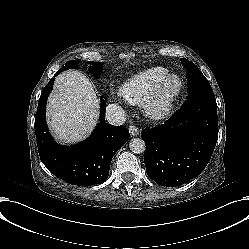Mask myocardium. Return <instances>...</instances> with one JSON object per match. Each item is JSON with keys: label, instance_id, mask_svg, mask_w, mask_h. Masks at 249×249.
Returning a JSON list of instances; mask_svg holds the SVG:
<instances>
[{"label": "myocardium", "instance_id": "myocardium-1", "mask_svg": "<svg viewBox=\"0 0 249 249\" xmlns=\"http://www.w3.org/2000/svg\"><path fill=\"white\" fill-rule=\"evenodd\" d=\"M182 90V80L176 74H169L155 94L144 103L143 113L151 121L164 119L171 111Z\"/></svg>", "mask_w": 249, "mask_h": 249}]
</instances>
